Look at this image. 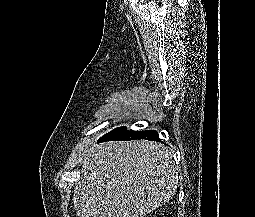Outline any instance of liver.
<instances>
[{"label": "liver", "mask_w": 255, "mask_h": 217, "mask_svg": "<svg viewBox=\"0 0 255 217\" xmlns=\"http://www.w3.org/2000/svg\"><path fill=\"white\" fill-rule=\"evenodd\" d=\"M83 156L73 196L78 217H144L176 193L173 153L163 144L114 141Z\"/></svg>", "instance_id": "liver-1"}]
</instances>
